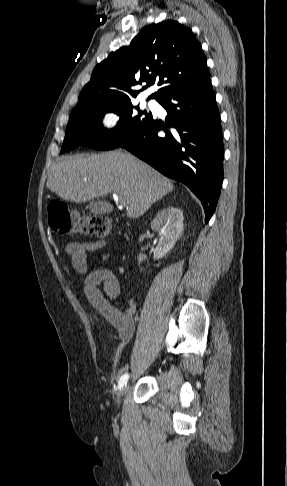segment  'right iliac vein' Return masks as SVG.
Masks as SVG:
<instances>
[{"mask_svg":"<svg viewBox=\"0 0 287 486\" xmlns=\"http://www.w3.org/2000/svg\"><path fill=\"white\" fill-rule=\"evenodd\" d=\"M129 388V385H125L120 389L119 395H118V404H120L121 397L127 392Z\"/></svg>","mask_w":287,"mask_h":486,"instance_id":"obj_1","label":"right iliac vein"}]
</instances>
